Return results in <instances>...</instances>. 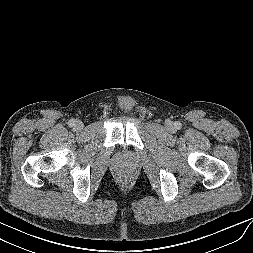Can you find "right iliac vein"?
<instances>
[{"mask_svg": "<svg viewBox=\"0 0 253 253\" xmlns=\"http://www.w3.org/2000/svg\"><path fill=\"white\" fill-rule=\"evenodd\" d=\"M75 128L77 130H81L83 128V123L81 121H77L75 124Z\"/></svg>", "mask_w": 253, "mask_h": 253, "instance_id": "right-iliac-vein-1", "label": "right iliac vein"}]
</instances>
